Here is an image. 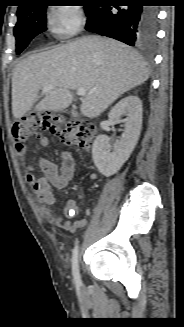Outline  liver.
I'll list each match as a JSON object with an SVG mask.
<instances>
[{
	"instance_id": "liver-1",
	"label": "liver",
	"mask_w": 184,
	"mask_h": 327,
	"mask_svg": "<svg viewBox=\"0 0 184 327\" xmlns=\"http://www.w3.org/2000/svg\"><path fill=\"white\" fill-rule=\"evenodd\" d=\"M149 78V70L133 48L114 39L85 36L52 50L29 55L12 77V113L20 119L37 103V111H62L73 100L72 90L85 88L81 113L98 117L123 93ZM55 88L39 101V91Z\"/></svg>"
}]
</instances>
